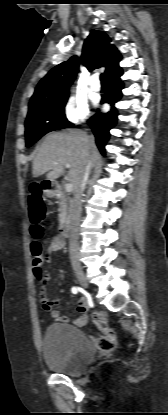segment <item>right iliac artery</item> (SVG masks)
Returning a JSON list of instances; mask_svg holds the SVG:
<instances>
[{"mask_svg": "<svg viewBox=\"0 0 168 415\" xmlns=\"http://www.w3.org/2000/svg\"><path fill=\"white\" fill-rule=\"evenodd\" d=\"M79 290H80V288H78L76 286L72 287V289H71L72 293H74V294H77Z\"/></svg>", "mask_w": 168, "mask_h": 415, "instance_id": "right-iliac-artery-1", "label": "right iliac artery"}]
</instances>
